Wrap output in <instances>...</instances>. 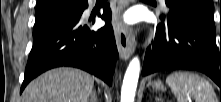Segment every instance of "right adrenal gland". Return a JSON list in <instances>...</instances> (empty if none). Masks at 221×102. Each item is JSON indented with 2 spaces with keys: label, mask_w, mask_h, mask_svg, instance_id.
Listing matches in <instances>:
<instances>
[{
  "label": "right adrenal gland",
  "mask_w": 221,
  "mask_h": 102,
  "mask_svg": "<svg viewBox=\"0 0 221 102\" xmlns=\"http://www.w3.org/2000/svg\"><path fill=\"white\" fill-rule=\"evenodd\" d=\"M89 102H98V97L95 91L92 92Z\"/></svg>",
  "instance_id": "right-adrenal-gland-1"
}]
</instances>
